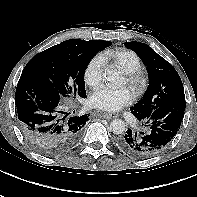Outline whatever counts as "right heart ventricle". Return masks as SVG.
<instances>
[{
    "label": "right heart ventricle",
    "mask_w": 197,
    "mask_h": 197,
    "mask_svg": "<svg viewBox=\"0 0 197 197\" xmlns=\"http://www.w3.org/2000/svg\"><path fill=\"white\" fill-rule=\"evenodd\" d=\"M103 60H111L118 68L125 73H132L142 68V61L140 57L132 50L125 48H117L106 51Z\"/></svg>",
    "instance_id": "right-heart-ventricle-1"
}]
</instances>
